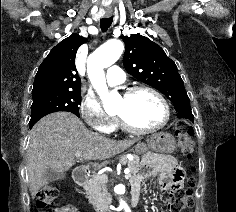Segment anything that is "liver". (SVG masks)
<instances>
[{
	"label": "liver",
	"mask_w": 236,
	"mask_h": 212,
	"mask_svg": "<svg viewBox=\"0 0 236 212\" xmlns=\"http://www.w3.org/2000/svg\"><path fill=\"white\" fill-rule=\"evenodd\" d=\"M135 143V139L115 141L89 131L76 115L69 112L43 117L32 128L27 149V175L32 198L48 183L44 178L45 170L68 171L75 164L76 152L81 153V159L103 161Z\"/></svg>",
	"instance_id": "1"
}]
</instances>
